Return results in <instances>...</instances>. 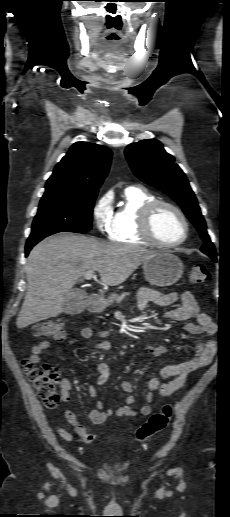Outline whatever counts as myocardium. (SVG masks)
<instances>
[{
	"label": "myocardium",
	"instance_id": "myocardium-1",
	"mask_svg": "<svg viewBox=\"0 0 230 517\" xmlns=\"http://www.w3.org/2000/svg\"><path fill=\"white\" fill-rule=\"evenodd\" d=\"M161 207H167L173 210L182 220L184 225V234L183 237L175 242H163L159 240L153 231V219L155 216V213L158 211ZM190 226L187 217L183 213V211L176 206L175 204L164 201V200H154L150 203H148L141 211L140 214V232L141 235L148 240L151 244L162 247V248H173L177 247L181 244H183L188 236H189Z\"/></svg>",
	"mask_w": 230,
	"mask_h": 517
}]
</instances>
